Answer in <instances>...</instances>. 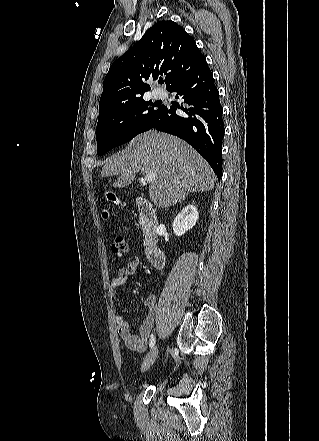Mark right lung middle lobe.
<instances>
[{
	"label": "right lung middle lobe",
	"mask_w": 319,
	"mask_h": 441,
	"mask_svg": "<svg viewBox=\"0 0 319 441\" xmlns=\"http://www.w3.org/2000/svg\"><path fill=\"white\" fill-rule=\"evenodd\" d=\"M155 106L142 98L101 110L97 123V155L152 129L163 110V105L157 110Z\"/></svg>",
	"instance_id": "1"
}]
</instances>
